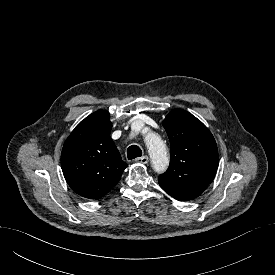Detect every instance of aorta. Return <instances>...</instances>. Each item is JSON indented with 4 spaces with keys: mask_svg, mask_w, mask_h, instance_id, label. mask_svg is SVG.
Segmentation results:
<instances>
[{
    "mask_svg": "<svg viewBox=\"0 0 275 275\" xmlns=\"http://www.w3.org/2000/svg\"><path fill=\"white\" fill-rule=\"evenodd\" d=\"M145 142L153 168L157 172L165 171L169 163V156L162 139L151 133L145 137Z\"/></svg>",
    "mask_w": 275,
    "mask_h": 275,
    "instance_id": "obj_1",
    "label": "aorta"
}]
</instances>
